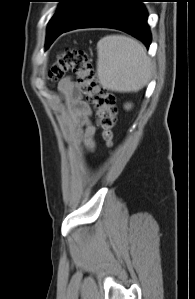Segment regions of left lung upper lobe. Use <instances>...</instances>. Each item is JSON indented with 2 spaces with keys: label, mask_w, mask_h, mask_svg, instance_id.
I'll return each mask as SVG.
<instances>
[{
  "label": "left lung upper lobe",
  "mask_w": 195,
  "mask_h": 299,
  "mask_svg": "<svg viewBox=\"0 0 195 299\" xmlns=\"http://www.w3.org/2000/svg\"><path fill=\"white\" fill-rule=\"evenodd\" d=\"M58 1L60 5L48 24L46 45L55 31L68 26L77 17L88 0Z\"/></svg>",
  "instance_id": "1"
}]
</instances>
